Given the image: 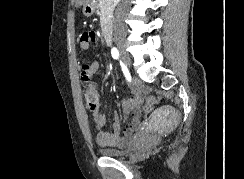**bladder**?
I'll return each instance as SVG.
<instances>
[{"mask_svg":"<svg viewBox=\"0 0 244 179\" xmlns=\"http://www.w3.org/2000/svg\"><path fill=\"white\" fill-rule=\"evenodd\" d=\"M99 152L104 157H117L124 154V151L113 148H100Z\"/></svg>","mask_w":244,"mask_h":179,"instance_id":"bladder-1","label":"bladder"}]
</instances>
